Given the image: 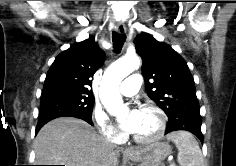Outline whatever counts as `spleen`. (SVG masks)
Instances as JSON below:
<instances>
[{
  "instance_id": "spleen-1",
  "label": "spleen",
  "mask_w": 236,
  "mask_h": 166,
  "mask_svg": "<svg viewBox=\"0 0 236 166\" xmlns=\"http://www.w3.org/2000/svg\"><path fill=\"white\" fill-rule=\"evenodd\" d=\"M178 149V163L180 166H205L204 158L198 142L187 131H177L167 136Z\"/></svg>"
}]
</instances>
